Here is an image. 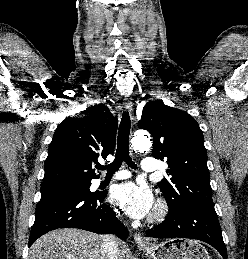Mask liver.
<instances>
[{"mask_svg": "<svg viewBox=\"0 0 248 259\" xmlns=\"http://www.w3.org/2000/svg\"><path fill=\"white\" fill-rule=\"evenodd\" d=\"M117 259H125L127 246L118 242ZM104 235L76 228L48 232L30 248L28 259H102Z\"/></svg>", "mask_w": 248, "mask_h": 259, "instance_id": "liver-1", "label": "liver"}]
</instances>
